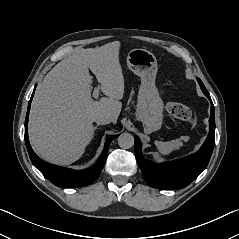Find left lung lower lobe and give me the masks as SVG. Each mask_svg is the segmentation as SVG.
I'll return each mask as SVG.
<instances>
[{"instance_id": "1", "label": "left lung lower lobe", "mask_w": 239, "mask_h": 239, "mask_svg": "<svg viewBox=\"0 0 239 239\" xmlns=\"http://www.w3.org/2000/svg\"><path fill=\"white\" fill-rule=\"evenodd\" d=\"M197 80L203 93L211 101L209 134L199 151L182 159L155 164L143 157L141 141L135 136V155L143 176L151 187L167 190L182 189L197 178L210 160L215 143L214 105L205 86L201 84L199 78Z\"/></svg>"}]
</instances>
